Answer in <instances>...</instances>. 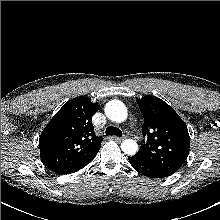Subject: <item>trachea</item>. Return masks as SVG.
<instances>
[{"mask_svg": "<svg viewBox=\"0 0 220 220\" xmlns=\"http://www.w3.org/2000/svg\"><path fill=\"white\" fill-rule=\"evenodd\" d=\"M106 135H116V136H119L121 137L122 136V131L117 128V127H114V126H108L106 128V131H105Z\"/></svg>", "mask_w": 220, "mask_h": 220, "instance_id": "obj_1", "label": "trachea"}]
</instances>
